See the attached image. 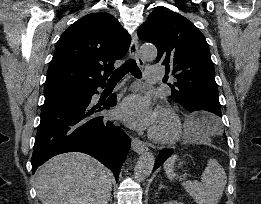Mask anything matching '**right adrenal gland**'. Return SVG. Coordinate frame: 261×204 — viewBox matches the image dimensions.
Returning <instances> with one entry per match:
<instances>
[{
	"mask_svg": "<svg viewBox=\"0 0 261 204\" xmlns=\"http://www.w3.org/2000/svg\"><path fill=\"white\" fill-rule=\"evenodd\" d=\"M109 201H110V202L112 201V197H110Z\"/></svg>",
	"mask_w": 261,
	"mask_h": 204,
	"instance_id": "1",
	"label": "right adrenal gland"
}]
</instances>
